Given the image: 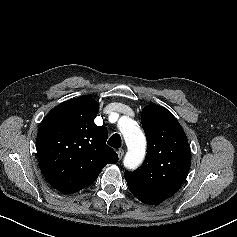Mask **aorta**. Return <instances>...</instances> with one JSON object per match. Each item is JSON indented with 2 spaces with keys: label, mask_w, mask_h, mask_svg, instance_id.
Returning <instances> with one entry per match:
<instances>
[{
  "label": "aorta",
  "mask_w": 237,
  "mask_h": 237,
  "mask_svg": "<svg viewBox=\"0 0 237 237\" xmlns=\"http://www.w3.org/2000/svg\"><path fill=\"white\" fill-rule=\"evenodd\" d=\"M128 151L124 158V165L128 168L137 167L145 156L146 139L136 121L123 117L119 122Z\"/></svg>",
  "instance_id": "1"
}]
</instances>
